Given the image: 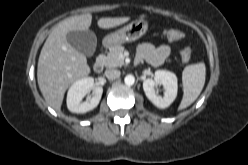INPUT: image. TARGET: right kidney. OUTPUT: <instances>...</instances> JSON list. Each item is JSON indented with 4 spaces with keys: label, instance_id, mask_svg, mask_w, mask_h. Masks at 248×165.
I'll use <instances>...</instances> for the list:
<instances>
[{
    "label": "right kidney",
    "instance_id": "right-kidney-1",
    "mask_svg": "<svg viewBox=\"0 0 248 165\" xmlns=\"http://www.w3.org/2000/svg\"><path fill=\"white\" fill-rule=\"evenodd\" d=\"M93 90L92 97L82 102L83 97ZM103 93L101 86L94 87L92 77H84L74 82L67 93V108L73 113H86L96 108Z\"/></svg>",
    "mask_w": 248,
    "mask_h": 165
}]
</instances>
